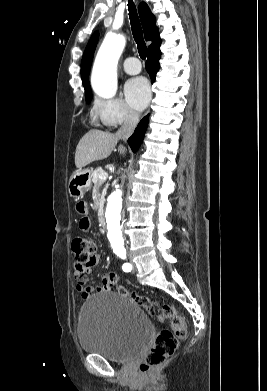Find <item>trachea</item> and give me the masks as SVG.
Masks as SVG:
<instances>
[{"label": "trachea", "instance_id": "1", "mask_svg": "<svg viewBox=\"0 0 267 391\" xmlns=\"http://www.w3.org/2000/svg\"><path fill=\"white\" fill-rule=\"evenodd\" d=\"M128 10L131 29L133 37L137 44L139 56L141 57V59L145 60L147 55V47L143 38V31L137 14V10L132 0H129Z\"/></svg>", "mask_w": 267, "mask_h": 391}]
</instances>
